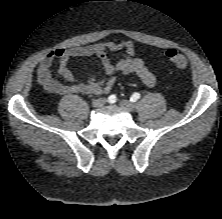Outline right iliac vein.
I'll list each match as a JSON object with an SVG mask.
<instances>
[{
	"mask_svg": "<svg viewBox=\"0 0 222 219\" xmlns=\"http://www.w3.org/2000/svg\"><path fill=\"white\" fill-rule=\"evenodd\" d=\"M105 102H106L105 99L98 98L92 102V105L96 108H99V107H102L105 104Z\"/></svg>",
	"mask_w": 222,
	"mask_h": 219,
	"instance_id": "right-iliac-vein-1",
	"label": "right iliac vein"
}]
</instances>
